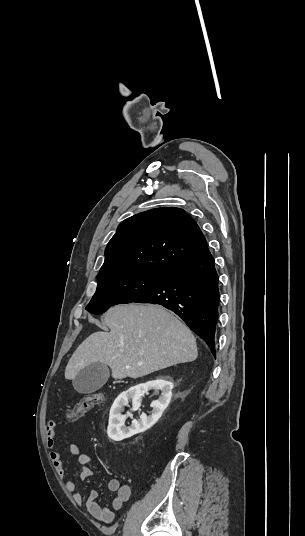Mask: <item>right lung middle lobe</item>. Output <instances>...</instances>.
I'll list each match as a JSON object with an SVG mask.
<instances>
[{"label":"right lung middle lobe","mask_w":305,"mask_h":536,"mask_svg":"<svg viewBox=\"0 0 305 536\" xmlns=\"http://www.w3.org/2000/svg\"><path fill=\"white\" fill-rule=\"evenodd\" d=\"M167 275L132 272L98 280L96 292L85 309L93 314H101L116 304L135 302L154 289Z\"/></svg>","instance_id":"obj_1"}]
</instances>
